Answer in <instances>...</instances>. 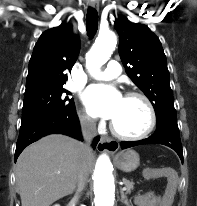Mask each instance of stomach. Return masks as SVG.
Listing matches in <instances>:
<instances>
[{"instance_id":"0dacf381","label":"stomach","mask_w":197,"mask_h":206,"mask_svg":"<svg viewBox=\"0 0 197 206\" xmlns=\"http://www.w3.org/2000/svg\"><path fill=\"white\" fill-rule=\"evenodd\" d=\"M114 162L120 170L129 173L139 167L140 157L136 151L129 149L117 153L114 156Z\"/></svg>"}]
</instances>
